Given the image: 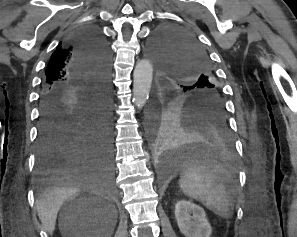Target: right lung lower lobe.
Returning a JSON list of instances; mask_svg holds the SVG:
<instances>
[{"instance_id": "obj_1", "label": "right lung lower lobe", "mask_w": 297, "mask_h": 237, "mask_svg": "<svg viewBox=\"0 0 297 237\" xmlns=\"http://www.w3.org/2000/svg\"><path fill=\"white\" fill-rule=\"evenodd\" d=\"M73 73L81 89L55 86L40 99L37 172L41 177L71 173L109 175L113 147L109 115V49L93 27L69 40Z\"/></svg>"}]
</instances>
